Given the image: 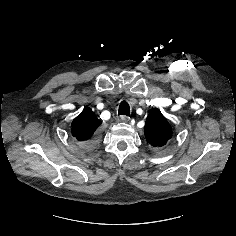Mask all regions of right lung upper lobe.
Returning <instances> with one entry per match:
<instances>
[{
  "label": "right lung upper lobe",
  "instance_id": "1",
  "mask_svg": "<svg viewBox=\"0 0 236 236\" xmlns=\"http://www.w3.org/2000/svg\"><path fill=\"white\" fill-rule=\"evenodd\" d=\"M101 125L94 112L86 107L72 122V135L79 141L88 140Z\"/></svg>",
  "mask_w": 236,
  "mask_h": 236
}]
</instances>
